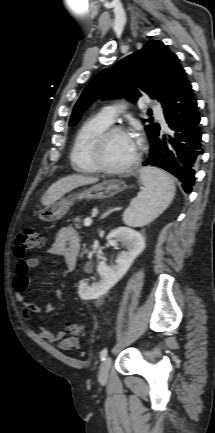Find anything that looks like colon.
<instances>
[{"mask_svg": "<svg viewBox=\"0 0 215 433\" xmlns=\"http://www.w3.org/2000/svg\"><path fill=\"white\" fill-rule=\"evenodd\" d=\"M41 246L42 236L32 227H23L16 239L15 254L18 258L23 259L29 251ZM68 331L73 337H83L86 334V326L83 323H71Z\"/></svg>", "mask_w": 215, "mask_h": 433, "instance_id": "colon-1", "label": "colon"}]
</instances>
